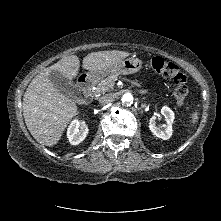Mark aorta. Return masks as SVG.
Instances as JSON below:
<instances>
[{
	"label": "aorta",
	"mask_w": 221,
	"mask_h": 221,
	"mask_svg": "<svg viewBox=\"0 0 221 221\" xmlns=\"http://www.w3.org/2000/svg\"><path fill=\"white\" fill-rule=\"evenodd\" d=\"M123 102H131L133 101V96L130 93H126L122 97Z\"/></svg>",
	"instance_id": "1"
}]
</instances>
